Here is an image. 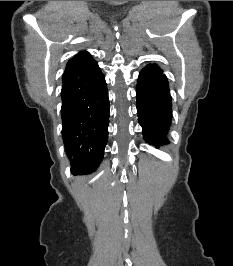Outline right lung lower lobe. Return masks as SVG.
Returning <instances> with one entry per match:
<instances>
[{"instance_id": "right-lung-lower-lobe-1", "label": "right lung lower lobe", "mask_w": 233, "mask_h": 266, "mask_svg": "<svg viewBox=\"0 0 233 266\" xmlns=\"http://www.w3.org/2000/svg\"><path fill=\"white\" fill-rule=\"evenodd\" d=\"M62 136L72 172L93 171L101 162L108 138L107 85L90 56L63 74Z\"/></svg>"}]
</instances>
